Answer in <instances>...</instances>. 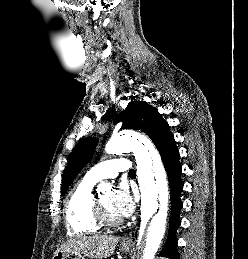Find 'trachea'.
<instances>
[{
	"label": "trachea",
	"instance_id": "3493384b",
	"mask_svg": "<svg viewBox=\"0 0 248 259\" xmlns=\"http://www.w3.org/2000/svg\"><path fill=\"white\" fill-rule=\"evenodd\" d=\"M129 174H136V171H135L134 169H131V170L129 171Z\"/></svg>",
	"mask_w": 248,
	"mask_h": 259
}]
</instances>
